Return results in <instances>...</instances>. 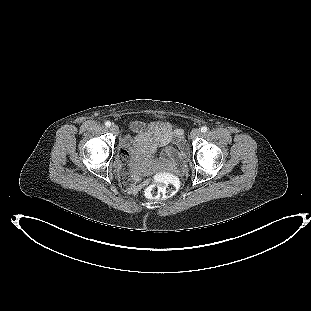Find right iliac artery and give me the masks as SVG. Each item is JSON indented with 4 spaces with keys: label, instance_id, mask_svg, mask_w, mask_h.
Instances as JSON below:
<instances>
[{
    "label": "right iliac artery",
    "instance_id": "obj_1",
    "mask_svg": "<svg viewBox=\"0 0 311 311\" xmlns=\"http://www.w3.org/2000/svg\"><path fill=\"white\" fill-rule=\"evenodd\" d=\"M105 126H106V127H110V126H111V122H110V121H106V122H105Z\"/></svg>",
    "mask_w": 311,
    "mask_h": 311
}]
</instances>
